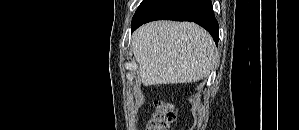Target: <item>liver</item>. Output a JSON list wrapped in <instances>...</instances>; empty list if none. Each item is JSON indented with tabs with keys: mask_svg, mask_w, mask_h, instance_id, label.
Segmentation results:
<instances>
[{
	"mask_svg": "<svg viewBox=\"0 0 299 130\" xmlns=\"http://www.w3.org/2000/svg\"><path fill=\"white\" fill-rule=\"evenodd\" d=\"M131 49L145 86L184 84L210 75L216 46L210 34L190 22L156 21L137 29Z\"/></svg>",
	"mask_w": 299,
	"mask_h": 130,
	"instance_id": "liver-1",
	"label": "liver"
}]
</instances>
